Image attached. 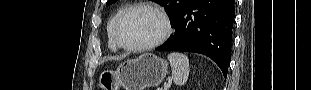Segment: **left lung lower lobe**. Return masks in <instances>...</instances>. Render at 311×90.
Listing matches in <instances>:
<instances>
[{
	"label": "left lung lower lobe",
	"mask_w": 311,
	"mask_h": 90,
	"mask_svg": "<svg viewBox=\"0 0 311 90\" xmlns=\"http://www.w3.org/2000/svg\"><path fill=\"white\" fill-rule=\"evenodd\" d=\"M234 0H192L175 22L173 37L157 51H186L211 58L226 78L231 59Z\"/></svg>",
	"instance_id": "1"
}]
</instances>
